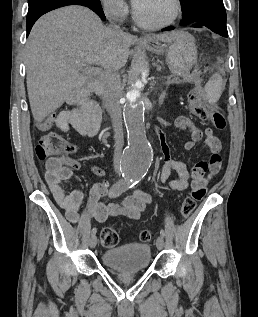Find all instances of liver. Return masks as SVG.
Segmentation results:
<instances>
[{
  "label": "liver",
  "mask_w": 258,
  "mask_h": 317,
  "mask_svg": "<svg viewBox=\"0 0 258 317\" xmlns=\"http://www.w3.org/2000/svg\"><path fill=\"white\" fill-rule=\"evenodd\" d=\"M162 42L178 40L180 30L147 34ZM138 40L129 32L104 26L86 6H63L36 20L25 44V66L29 102L36 122L70 100L74 92L90 82L79 72L75 60L101 64L118 70L125 66L129 46Z\"/></svg>",
  "instance_id": "6515ba94"
}]
</instances>
